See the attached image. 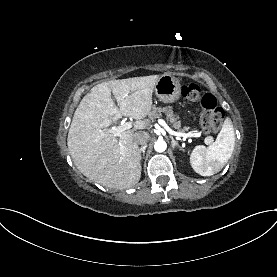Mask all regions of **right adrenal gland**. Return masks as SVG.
Segmentation results:
<instances>
[{"instance_id": "right-adrenal-gland-1", "label": "right adrenal gland", "mask_w": 277, "mask_h": 277, "mask_svg": "<svg viewBox=\"0 0 277 277\" xmlns=\"http://www.w3.org/2000/svg\"><path fill=\"white\" fill-rule=\"evenodd\" d=\"M146 148H147V145H145L139 149L140 158H142L141 153H143V157H145V149Z\"/></svg>"}]
</instances>
